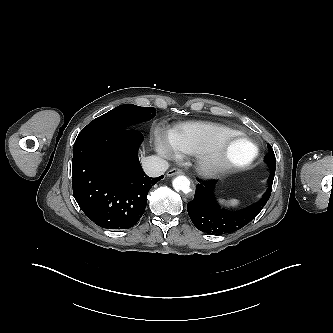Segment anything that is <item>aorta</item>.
<instances>
[{"mask_svg": "<svg viewBox=\"0 0 333 333\" xmlns=\"http://www.w3.org/2000/svg\"><path fill=\"white\" fill-rule=\"evenodd\" d=\"M172 185L176 191H182L185 194H188L192 191L190 180L183 175L177 176L175 179H173Z\"/></svg>", "mask_w": 333, "mask_h": 333, "instance_id": "obj_1", "label": "aorta"}]
</instances>
